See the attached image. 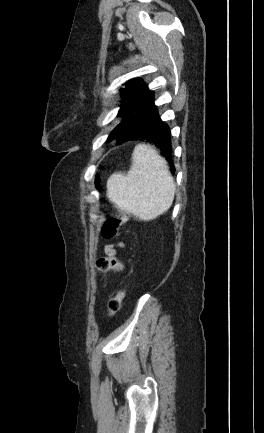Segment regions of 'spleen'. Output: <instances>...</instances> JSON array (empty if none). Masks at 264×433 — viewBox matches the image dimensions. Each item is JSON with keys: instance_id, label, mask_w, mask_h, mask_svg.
<instances>
[{"instance_id": "obj_1", "label": "spleen", "mask_w": 264, "mask_h": 433, "mask_svg": "<svg viewBox=\"0 0 264 433\" xmlns=\"http://www.w3.org/2000/svg\"><path fill=\"white\" fill-rule=\"evenodd\" d=\"M106 187L112 203L143 221L167 212L175 195V183L166 160L147 144L136 145L129 171L112 174Z\"/></svg>"}]
</instances>
